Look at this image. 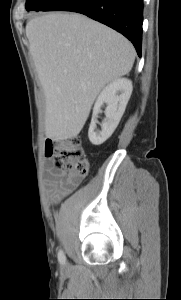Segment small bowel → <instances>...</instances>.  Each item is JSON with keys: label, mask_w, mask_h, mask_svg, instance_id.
Wrapping results in <instances>:
<instances>
[{"label": "small bowel", "mask_w": 181, "mask_h": 300, "mask_svg": "<svg viewBox=\"0 0 181 300\" xmlns=\"http://www.w3.org/2000/svg\"><path fill=\"white\" fill-rule=\"evenodd\" d=\"M81 178H73L64 169L50 166L47 169L46 188L53 200L58 201L75 190Z\"/></svg>", "instance_id": "c3829d8e"}]
</instances>
